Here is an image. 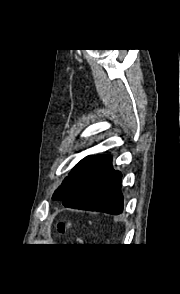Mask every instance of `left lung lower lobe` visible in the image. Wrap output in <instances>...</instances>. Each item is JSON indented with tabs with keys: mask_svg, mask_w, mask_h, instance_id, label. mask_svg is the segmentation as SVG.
<instances>
[{
	"mask_svg": "<svg viewBox=\"0 0 180 294\" xmlns=\"http://www.w3.org/2000/svg\"><path fill=\"white\" fill-rule=\"evenodd\" d=\"M121 173L112 168L110 155L94 157L62 199L65 207L120 214L123 196Z\"/></svg>",
	"mask_w": 180,
	"mask_h": 294,
	"instance_id": "1",
	"label": "left lung lower lobe"
}]
</instances>
